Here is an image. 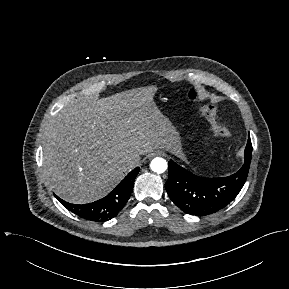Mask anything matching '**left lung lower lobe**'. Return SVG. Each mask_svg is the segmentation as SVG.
Wrapping results in <instances>:
<instances>
[{
	"label": "left lung lower lobe",
	"instance_id": "left-lung-lower-lobe-1",
	"mask_svg": "<svg viewBox=\"0 0 289 289\" xmlns=\"http://www.w3.org/2000/svg\"><path fill=\"white\" fill-rule=\"evenodd\" d=\"M252 155L250 137L245 148V161L235 174L224 178H203L169 161L166 191L175 205L190 215L206 216L228 205L242 189Z\"/></svg>",
	"mask_w": 289,
	"mask_h": 289
}]
</instances>
